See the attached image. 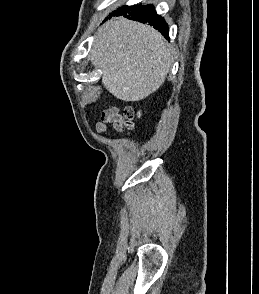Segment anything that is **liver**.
Segmentation results:
<instances>
[{
    "instance_id": "6515ba94",
    "label": "liver",
    "mask_w": 259,
    "mask_h": 294,
    "mask_svg": "<svg viewBox=\"0 0 259 294\" xmlns=\"http://www.w3.org/2000/svg\"><path fill=\"white\" fill-rule=\"evenodd\" d=\"M90 58L102 71L104 87L126 102L155 92L172 63L168 44L158 31L122 17L98 29Z\"/></svg>"
}]
</instances>
